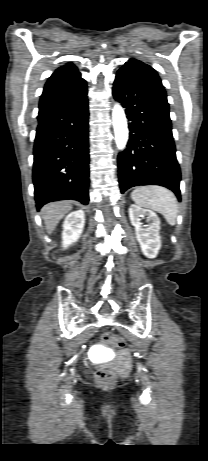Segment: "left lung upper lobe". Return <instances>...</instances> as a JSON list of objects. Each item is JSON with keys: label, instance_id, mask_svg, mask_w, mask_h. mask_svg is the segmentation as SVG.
<instances>
[{"label": "left lung upper lobe", "instance_id": "1", "mask_svg": "<svg viewBox=\"0 0 208 461\" xmlns=\"http://www.w3.org/2000/svg\"><path fill=\"white\" fill-rule=\"evenodd\" d=\"M119 72L128 73L142 81L163 87L158 73L151 66L140 60L130 58L128 62L119 69Z\"/></svg>", "mask_w": 208, "mask_h": 461}]
</instances>
